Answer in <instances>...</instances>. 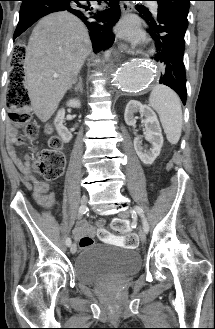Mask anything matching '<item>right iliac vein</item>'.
<instances>
[{"label":"right iliac vein","mask_w":215,"mask_h":329,"mask_svg":"<svg viewBox=\"0 0 215 329\" xmlns=\"http://www.w3.org/2000/svg\"><path fill=\"white\" fill-rule=\"evenodd\" d=\"M87 201H88L87 197H86V196H83V197L81 198V201H80V203H81V207H86V205H87ZM76 251H77L76 244H72L71 247H70V252H71L72 254H75Z\"/></svg>","instance_id":"right-iliac-vein-1"}]
</instances>
